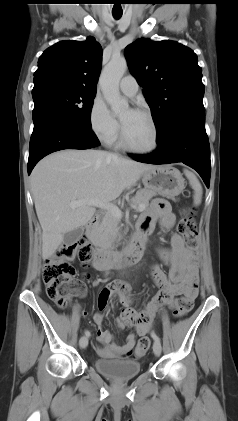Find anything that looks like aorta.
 I'll use <instances>...</instances> for the list:
<instances>
[{
    "instance_id": "aorta-1",
    "label": "aorta",
    "mask_w": 238,
    "mask_h": 421,
    "mask_svg": "<svg viewBox=\"0 0 238 421\" xmlns=\"http://www.w3.org/2000/svg\"><path fill=\"white\" fill-rule=\"evenodd\" d=\"M127 68V62L124 58H112L101 76L102 93L115 113L128 108V103L121 98L119 92V83Z\"/></svg>"
}]
</instances>
